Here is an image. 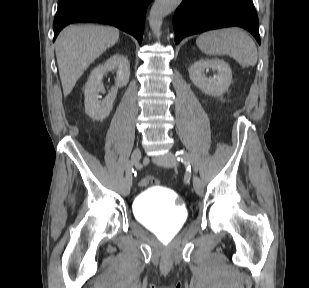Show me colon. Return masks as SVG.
Wrapping results in <instances>:
<instances>
[{
  "instance_id": "1",
  "label": "colon",
  "mask_w": 309,
  "mask_h": 288,
  "mask_svg": "<svg viewBox=\"0 0 309 288\" xmlns=\"http://www.w3.org/2000/svg\"><path fill=\"white\" fill-rule=\"evenodd\" d=\"M154 181H155V179L153 177L145 176V177H143L139 180V186L146 187V186L150 185L151 183H153Z\"/></svg>"
}]
</instances>
